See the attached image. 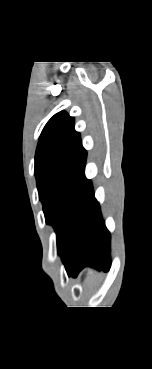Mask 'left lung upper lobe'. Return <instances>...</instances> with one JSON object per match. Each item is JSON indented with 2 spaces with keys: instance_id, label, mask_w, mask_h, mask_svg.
<instances>
[{
  "instance_id": "left-lung-upper-lobe-1",
  "label": "left lung upper lobe",
  "mask_w": 152,
  "mask_h": 369,
  "mask_svg": "<svg viewBox=\"0 0 152 369\" xmlns=\"http://www.w3.org/2000/svg\"><path fill=\"white\" fill-rule=\"evenodd\" d=\"M87 153L74 118L55 114L45 125L35 155V175L46 223L52 224L60 251L74 204L85 181Z\"/></svg>"
}]
</instances>
